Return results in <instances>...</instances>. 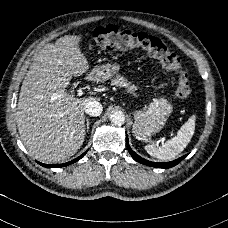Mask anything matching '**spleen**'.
I'll return each instance as SVG.
<instances>
[{"mask_svg":"<svg viewBox=\"0 0 228 228\" xmlns=\"http://www.w3.org/2000/svg\"><path fill=\"white\" fill-rule=\"evenodd\" d=\"M195 132V116H191L188 121L182 125L177 135L158 146L148 144L145 146L147 153L159 160L170 161L179 155L189 144Z\"/></svg>","mask_w":228,"mask_h":228,"instance_id":"1","label":"spleen"}]
</instances>
